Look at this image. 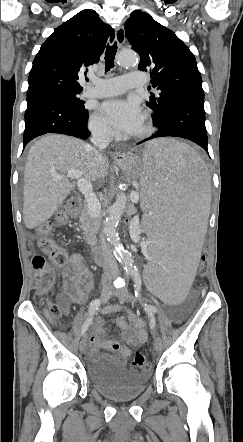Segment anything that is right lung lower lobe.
I'll use <instances>...</instances> for the list:
<instances>
[{
    "instance_id": "98d812e1",
    "label": "right lung lower lobe",
    "mask_w": 243,
    "mask_h": 442,
    "mask_svg": "<svg viewBox=\"0 0 243 442\" xmlns=\"http://www.w3.org/2000/svg\"><path fill=\"white\" fill-rule=\"evenodd\" d=\"M24 146L46 133H60L86 139L88 115H81L63 94L44 90L27 94Z\"/></svg>"
}]
</instances>
